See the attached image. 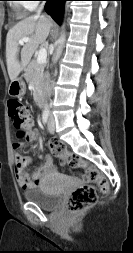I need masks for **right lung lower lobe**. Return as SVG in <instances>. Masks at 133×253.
<instances>
[{"label": "right lung lower lobe", "mask_w": 133, "mask_h": 253, "mask_svg": "<svg viewBox=\"0 0 133 253\" xmlns=\"http://www.w3.org/2000/svg\"><path fill=\"white\" fill-rule=\"evenodd\" d=\"M46 12L58 23H61L64 2L66 0H46Z\"/></svg>", "instance_id": "98d812e1"}]
</instances>
